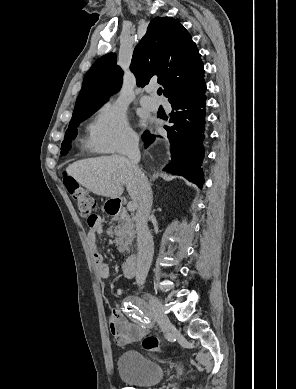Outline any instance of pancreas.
I'll return each instance as SVG.
<instances>
[{"label": "pancreas", "instance_id": "1", "mask_svg": "<svg viewBox=\"0 0 296 389\" xmlns=\"http://www.w3.org/2000/svg\"><path fill=\"white\" fill-rule=\"evenodd\" d=\"M116 222L110 233L116 236V245L120 252L128 251L135 235L134 224L126 211L112 218Z\"/></svg>", "mask_w": 296, "mask_h": 389}]
</instances>
